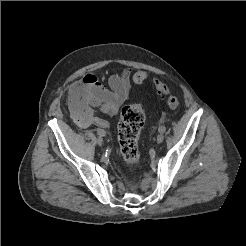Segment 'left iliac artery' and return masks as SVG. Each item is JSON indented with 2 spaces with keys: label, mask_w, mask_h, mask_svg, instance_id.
I'll use <instances>...</instances> for the list:
<instances>
[{
  "label": "left iliac artery",
  "mask_w": 246,
  "mask_h": 246,
  "mask_svg": "<svg viewBox=\"0 0 246 246\" xmlns=\"http://www.w3.org/2000/svg\"><path fill=\"white\" fill-rule=\"evenodd\" d=\"M158 131H159L160 133H164V132L166 131V127H165V126H160V127L158 128Z\"/></svg>",
  "instance_id": "left-iliac-artery-1"
}]
</instances>
